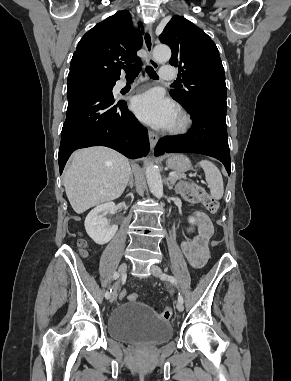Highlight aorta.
<instances>
[{
    "mask_svg": "<svg viewBox=\"0 0 291 381\" xmlns=\"http://www.w3.org/2000/svg\"><path fill=\"white\" fill-rule=\"evenodd\" d=\"M153 57L158 62H167L171 57V50L166 45H156L153 50ZM146 178L151 193L155 197L161 198L163 196L161 175L156 166L152 163L148 164L146 167Z\"/></svg>",
    "mask_w": 291,
    "mask_h": 381,
    "instance_id": "762f6f07",
    "label": "aorta"
}]
</instances>
